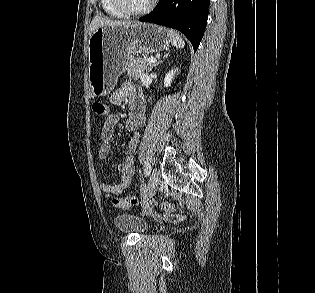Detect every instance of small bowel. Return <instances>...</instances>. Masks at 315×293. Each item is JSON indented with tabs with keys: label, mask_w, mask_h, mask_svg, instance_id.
<instances>
[{
	"label": "small bowel",
	"mask_w": 315,
	"mask_h": 293,
	"mask_svg": "<svg viewBox=\"0 0 315 293\" xmlns=\"http://www.w3.org/2000/svg\"><path fill=\"white\" fill-rule=\"evenodd\" d=\"M129 100V115L125 121V131L132 133L127 141V156L118 166L120 179L115 184L100 183L99 189L105 197L119 196L130 185L134 174V153L137 149L138 130L145 123V101L141 91L130 81L122 82L110 96V102L118 105ZM119 122L117 114H108L100 133L99 159H105L111 149L116 126Z\"/></svg>",
	"instance_id": "small-bowel-1"
}]
</instances>
